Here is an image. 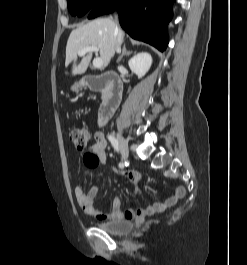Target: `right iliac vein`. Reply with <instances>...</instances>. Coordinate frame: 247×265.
Wrapping results in <instances>:
<instances>
[{
    "label": "right iliac vein",
    "instance_id": "1",
    "mask_svg": "<svg viewBox=\"0 0 247 265\" xmlns=\"http://www.w3.org/2000/svg\"><path fill=\"white\" fill-rule=\"evenodd\" d=\"M117 140L119 144L120 153L123 159H127L129 156L128 143L121 134H117Z\"/></svg>",
    "mask_w": 247,
    "mask_h": 265
}]
</instances>
